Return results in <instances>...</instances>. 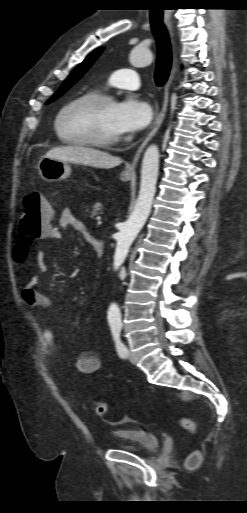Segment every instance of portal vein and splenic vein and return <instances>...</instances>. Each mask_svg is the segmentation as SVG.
<instances>
[{
    "label": "portal vein and splenic vein",
    "mask_w": 247,
    "mask_h": 513,
    "mask_svg": "<svg viewBox=\"0 0 247 513\" xmlns=\"http://www.w3.org/2000/svg\"><path fill=\"white\" fill-rule=\"evenodd\" d=\"M97 224H102L101 218L97 217Z\"/></svg>",
    "instance_id": "18ae733b"
}]
</instances>
